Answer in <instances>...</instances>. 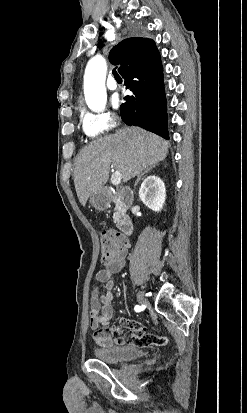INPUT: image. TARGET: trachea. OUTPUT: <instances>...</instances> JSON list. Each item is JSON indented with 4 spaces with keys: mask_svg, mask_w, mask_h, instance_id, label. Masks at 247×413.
<instances>
[{
    "mask_svg": "<svg viewBox=\"0 0 247 413\" xmlns=\"http://www.w3.org/2000/svg\"><path fill=\"white\" fill-rule=\"evenodd\" d=\"M113 75L115 77L116 80H122L121 77L118 75V73L116 72V69L113 70Z\"/></svg>",
    "mask_w": 247,
    "mask_h": 413,
    "instance_id": "1",
    "label": "trachea"
}]
</instances>
